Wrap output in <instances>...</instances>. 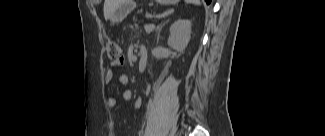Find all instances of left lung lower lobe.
<instances>
[{"label":"left lung lower lobe","mask_w":325,"mask_h":136,"mask_svg":"<svg viewBox=\"0 0 325 136\" xmlns=\"http://www.w3.org/2000/svg\"><path fill=\"white\" fill-rule=\"evenodd\" d=\"M207 2V4H209L211 2V0H205Z\"/></svg>","instance_id":"left-lung-lower-lobe-1"}]
</instances>
